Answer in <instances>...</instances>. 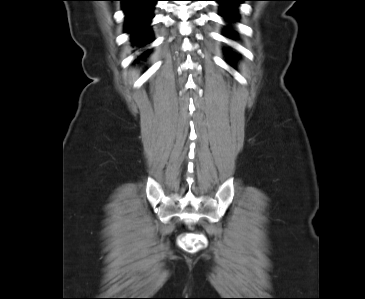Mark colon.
<instances>
[{"instance_id": "5ec220e1", "label": "colon", "mask_w": 365, "mask_h": 299, "mask_svg": "<svg viewBox=\"0 0 365 299\" xmlns=\"http://www.w3.org/2000/svg\"><path fill=\"white\" fill-rule=\"evenodd\" d=\"M207 244V238L203 233H187L180 237V247L188 252H198Z\"/></svg>"}]
</instances>
